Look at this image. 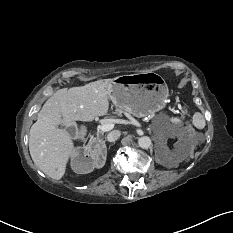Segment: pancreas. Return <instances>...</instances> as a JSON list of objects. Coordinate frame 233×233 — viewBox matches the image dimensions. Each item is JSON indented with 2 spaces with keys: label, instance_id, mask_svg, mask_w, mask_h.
<instances>
[{
  "label": "pancreas",
  "instance_id": "cf45deb5",
  "mask_svg": "<svg viewBox=\"0 0 233 233\" xmlns=\"http://www.w3.org/2000/svg\"><path fill=\"white\" fill-rule=\"evenodd\" d=\"M117 113H118V115H121L122 110L118 109V110H117Z\"/></svg>",
  "mask_w": 233,
  "mask_h": 233
}]
</instances>
